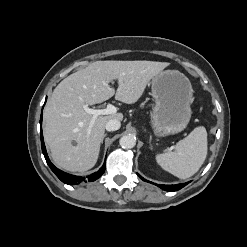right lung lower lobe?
Here are the masks:
<instances>
[{
  "label": "right lung lower lobe",
  "instance_id": "1",
  "mask_svg": "<svg viewBox=\"0 0 247 247\" xmlns=\"http://www.w3.org/2000/svg\"><path fill=\"white\" fill-rule=\"evenodd\" d=\"M40 125H42V115H41V118H40ZM41 147H42V151H43V154H44V157L46 159V162L47 164L49 165V167L51 168V170L55 173V175L62 181L64 182L65 184H77V183H80L83 178L80 177V176H74V175H70V174H67L59 169H57L52 163L51 161L49 160V157L47 155V152H46V148H45V144H44V140H43V133H42V128H41ZM105 171V163L104 165L99 169V171L87 176V180L89 182L91 181H95L96 179H98L99 177L102 176V174L104 173ZM84 181H86L84 179Z\"/></svg>",
  "mask_w": 247,
  "mask_h": 247
}]
</instances>
